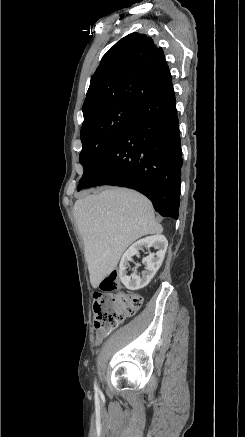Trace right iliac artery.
I'll return each instance as SVG.
<instances>
[{"instance_id":"1","label":"right iliac artery","mask_w":245,"mask_h":437,"mask_svg":"<svg viewBox=\"0 0 245 437\" xmlns=\"http://www.w3.org/2000/svg\"><path fill=\"white\" fill-rule=\"evenodd\" d=\"M95 391L97 392L98 391V386L96 385V383H95Z\"/></svg>"}]
</instances>
